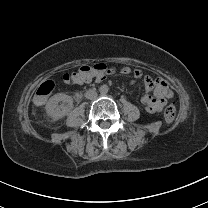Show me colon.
<instances>
[{"label":"colon","instance_id":"obj_1","mask_svg":"<svg viewBox=\"0 0 208 208\" xmlns=\"http://www.w3.org/2000/svg\"><path fill=\"white\" fill-rule=\"evenodd\" d=\"M108 67L105 64L95 63V64H84L81 65L74 72H67L64 74L63 78L65 82L70 81H79L80 79H93L98 75H102ZM54 84L52 81L47 80L43 83L39 92L34 95L33 102L37 106H42L48 99V95L53 89ZM176 118V106L174 103H170L164 112V122L167 125H171Z\"/></svg>","mask_w":208,"mask_h":208}]
</instances>
